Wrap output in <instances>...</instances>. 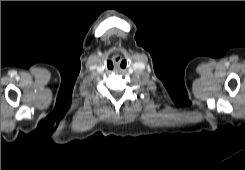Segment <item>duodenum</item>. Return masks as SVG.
Masks as SVG:
<instances>
[{"instance_id": "1", "label": "duodenum", "mask_w": 245, "mask_h": 170, "mask_svg": "<svg viewBox=\"0 0 245 170\" xmlns=\"http://www.w3.org/2000/svg\"><path fill=\"white\" fill-rule=\"evenodd\" d=\"M61 125H64V122H61Z\"/></svg>"}]
</instances>
